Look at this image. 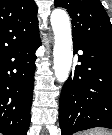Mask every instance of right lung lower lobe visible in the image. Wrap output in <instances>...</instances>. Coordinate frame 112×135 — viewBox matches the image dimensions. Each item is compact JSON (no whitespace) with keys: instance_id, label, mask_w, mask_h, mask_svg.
<instances>
[{"instance_id":"98d812e1","label":"right lung lower lobe","mask_w":112,"mask_h":135,"mask_svg":"<svg viewBox=\"0 0 112 135\" xmlns=\"http://www.w3.org/2000/svg\"><path fill=\"white\" fill-rule=\"evenodd\" d=\"M39 34L0 56V133L27 135Z\"/></svg>"}]
</instances>
